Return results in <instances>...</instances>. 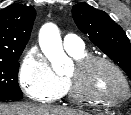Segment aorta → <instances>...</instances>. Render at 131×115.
<instances>
[{"label":"aorta","instance_id":"obj_1","mask_svg":"<svg viewBox=\"0 0 131 115\" xmlns=\"http://www.w3.org/2000/svg\"><path fill=\"white\" fill-rule=\"evenodd\" d=\"M39 44L42 52L51 62L54 72L63 74L69 60L62 47L59 29L52 23L45 24L39 33Z\"/></svg>","mask_w":131,"mask_h":115}]
</instances>
